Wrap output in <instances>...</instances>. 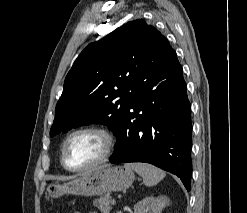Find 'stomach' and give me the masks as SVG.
Listing matches in <instances>:
<instances>
[{"mask_svg":"<svg viewBox=\"0 0 247 213\" xmlns=\"http://www.w3.org/2000/svg\"><path fill=\"white\" fill-rule=\"evenodd\" d=\"M134 178V173L125 167L108 166L85 172L65 184L50 183L46 188V194L51 198H58L64 194L101 196L127 189L132 185Z\"/></svg>","mask_w":247,"mask_h":213,"instance_id":"obj_1","label":"stomach"}]
</instances>
